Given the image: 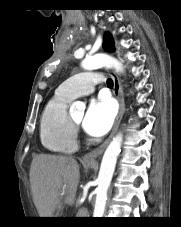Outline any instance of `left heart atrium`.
I'll use <instances>...</instances> for the list:
<instances>
[{"instance_id":"39dd6f15","label":"left heart atrium","mask_w":181,"mask_h":227,"mask_svg":"<svg viewBox=\"0 0 181 227\" xmlns=\"http://www.w3.org/2000/svg\"><path fill=\"white\" fill-rule=\"evenodd\" d=\"M115 108L111 100L100 98L90 103L82 126L92 136L106 134L112 126Z\"/></svg>"}]
</instances>
